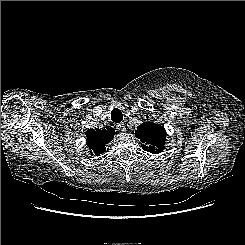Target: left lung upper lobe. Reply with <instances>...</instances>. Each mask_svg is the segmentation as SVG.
<instances>
[{
    "instance_id": "1",
    "label": "left lung upper lobe",
    "mask_w": 245,
    "mask_h": 245,
    "mask_svg": "<svg viewBox=\"0 0 245 245\" xmlns=\"http://www.w3.org/2000/svg\"><path fill=\"white\" fill-rule=\"evenodd\" d=\"M134 134L136 138L140 139L142 148L145 151L156 154L164 150L167 134L164 127L160 124L145 122L137 127Z\"/></svg>"
}]
</instances>
